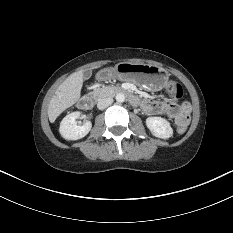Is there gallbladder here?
<instances>
[{
	"mask_svg": "<svg viewBox=\"0 0 233 233\" xmlns=\"http://www.w3.org/2000/svg\"><path fill=\"white\" fill-rule=\"evenodd\" d=\"M92 75V71L90 69H85L83 71V78L84 79H89Z\"/></svg>",
	"mask_w": 233,
	"mask_h": 233,
	"instance_id": "gallbladder-1",
	"label": "gallbladder"
}]
</instances>
